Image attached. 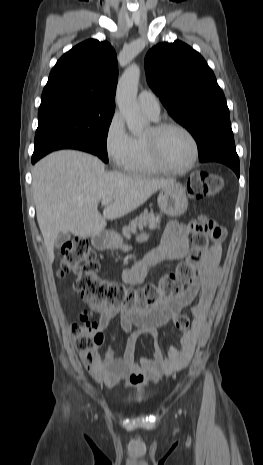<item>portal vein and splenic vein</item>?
<instances>
[{
  "label": "portal vein and splenic vein",
  "mask_w": 263,
  "mask_h": 465,
  "mask_svg": "<svg viewBox=\"0 0 263 465\" xmlns=\"http://www.w3.org/2000/svg\"><path fill=\"white\" fill-rule=\"evenodd\" d=\"M112 201H113V198H105V199H102L101 203H102L103 206H107V205H109Z\"/></svg>",
  "instance_id": "1"
}]
</instances>
